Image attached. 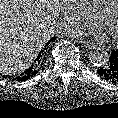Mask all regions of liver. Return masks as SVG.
<instances>
[{
	"label": "liver",
	"mask_w": 118,
	"mask_h": 118,
	"mask_svg": "<svg viewBox=\"0 0 118 118\" xmlns=\"http://www.w3.org/2000/svg\"><path fill=\"white\" fill-rule=\"evenodd\" d=\"M59 0H0V72L31 66L56 27Z\"/></svg>",
	"instance_id": "obj_1"
}]
</instances>
